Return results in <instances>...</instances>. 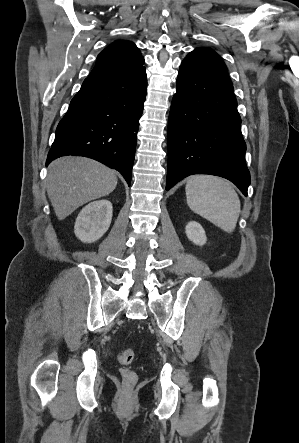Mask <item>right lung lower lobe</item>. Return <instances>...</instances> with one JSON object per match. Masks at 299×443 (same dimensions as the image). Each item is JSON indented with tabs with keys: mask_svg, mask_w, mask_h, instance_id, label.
Segmentation results:
<instances>
[{
	"mask_svg": "<svg viewBox=\"0 0 299 443\" xmlns=\"http://www.w3.org/2000/svg\"><path fill=\"white\" fill-rule=\"evenodd\" d=\"M146 71L89 76L56 129L46 165L65 155L93 158L118 170L130 186Z\"/></svg>",
	"mask_w": 299,
	"mask_h": 443,
	"instance_id": "obj_1",
	"label": "right lung lower lobe"
}]
</instances>
